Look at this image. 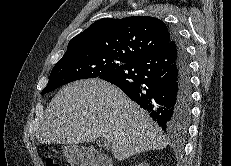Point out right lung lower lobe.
<instances>
[{
  "instance_id": "obj_1",
  "label": "right lung lower lobe",
  "mask_w": 231,
  "mask_h": 166,
  "mask_svg": "<svg viewBox=\"0 0 231 166\" xmlns=\"http://www.w3.org/2000/svg\"><path fill=\"white\" fill-rule=\"evenodd\" d=\"M99 78L118 86L169 135H183L191 116L192 88L184 45L172 31L160 51L123 64Z\"/></svg>"
}]
</instances>
